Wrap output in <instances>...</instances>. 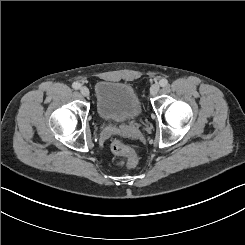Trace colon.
<instances>
[{"label": "colon", "mask_w": 245, "mask_h": 245, "mask_svg": "<svg viewBox=\"0 0 245 245\" xmlns=\"http://www.w3.org/2000/svg\"><path fill=\"white\" fill-rule=\"evenodd\" d=\"M111 150L114 154L124 156V164L127 167H134L137 163L136 155L131 147L126 145L123 141L115 139L111 143Z\"/></svg>", "instance_id": "colon-1"}]
</instances>
